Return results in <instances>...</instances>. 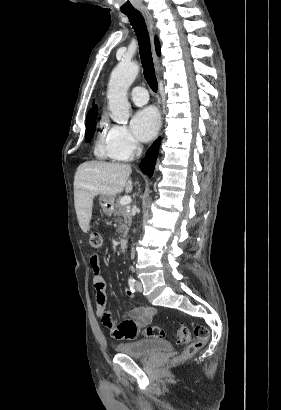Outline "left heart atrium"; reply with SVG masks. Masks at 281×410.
<instances>
[{
    "label": "left heart atrium",
    "instance_id": "obj_1",
    "mask_svg": "<svg viewBox=\"0 0 281 410\" xmlns=\"http://www.w3.org/2000/svg\"><path fill=\"white\" fill-rule=\"evenodd\" d=\"M160 117L153 107L143 108L133 116L131 127L134 134L143 141L151 140L157 133Z\"/></svg>",
    "mask_w": 281,
    "mask_h": 410
}]
</instances>
